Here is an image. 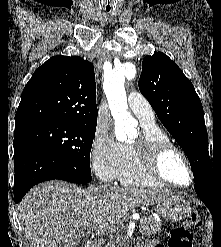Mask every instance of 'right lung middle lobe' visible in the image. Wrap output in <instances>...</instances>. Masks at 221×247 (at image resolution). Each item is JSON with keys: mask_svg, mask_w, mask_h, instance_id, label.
Returning a JSON list of instances; mask_svg holds the SVG:
<instances>
[{"mask_svg": "<svg viewBox=\"0 0 221 247\" xmlns=\"http://www.w3.org/2000/svg\"><path fill=\"white\" fill-rule=\"evenodd\" d=\"M96 124L55 122L15 129L14 141H26L47 149L75 168L91 173L90 152Z\"/></svg>", "mask_w": 221, "mask_h": 247, "instance_id": "right-lung-middle-lobe-1", "label": "right lung middle lobe"}]
</instances>
